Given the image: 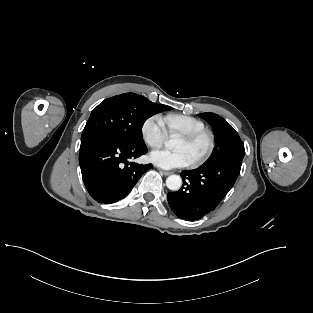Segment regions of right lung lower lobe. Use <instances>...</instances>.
Segmentation results:
<instances>
[{
	"mask_svg": "<svg viewBox=\"0 0 313 313\" xmlns=\"http://www.w3.org/2000/svg\"><path fill=\"white\" fill-rule=\"evenodd\" d=\"M147 153L145 143H130L108 133L81 139L79 163L89 194L99 203L111 204L125 198L152 164L133 159Z\"/></svg>",
	"mask_w": 313,
	"mask_h": 313,
	"instance_id": "obj_1",
	"label": "right lung lower lobe"
}]
</instances>
